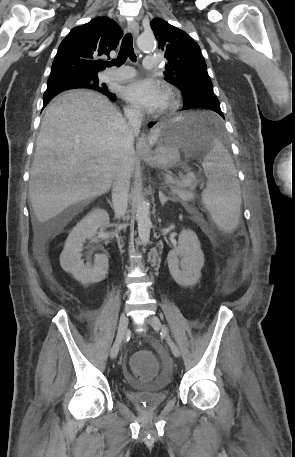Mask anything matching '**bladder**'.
Returning a JSON list of instances; mask_svg holds the SVG:
<instances>
[{
    "instance_id": "1",
    "label": "bladder",
    "mask_w": 295,
    "mask_h": 457,
    "mask_svg": "<svg viewBox=\"0 0 295 457\" xmlns=\"http://www.w3.org/2000/svg\"><path fill=\"white\" fill-rule=\"evenodd\" d=\"M153 351L157 355L159 361H161V372L160 378H149L148 384L137 383L140 388L138 390H127L126 397L133 404L134 411H157V407H160L169 398V392L165 388L167 380L172 378L174 369L172 367V361L170 352H165L166 348L164 345H155ZM130 360L129 364H122L120 367L119 375L121 378H125L127 384H133L135 377L131 375Z\"/></svg>"
}]
</instances>
